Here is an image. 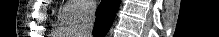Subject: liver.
Instances as JSON below:
<instances>
[{"label": "liver", "instance_id": "liver-1", "mask_svg": "<svg viewBox=\"0 0 219 37\" xmlns=\"http://www.w3.org/2000/svg\"><path fill=\"white\" fill-rule=\"evenodd\" d=\"M70 35H78V34L75 32L74 33L72 32V34L70 33ZM76 37H79V36H76Z\"/></svg>", "mask_w": 219, "mask_h": 37}]
</instances>
